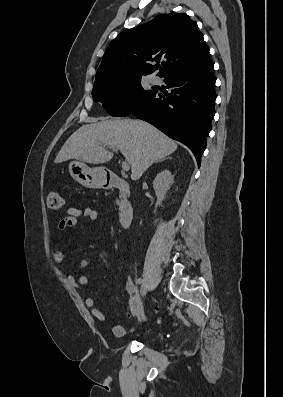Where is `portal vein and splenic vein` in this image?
Segmentation results:
<instances>
[{"instance_id":"obj_1","label":"portal vein and splenic vein","mask_w":283,"mask_h":397,"mask_svg":"<svg viewBox=\"0 0 283 397\" xmlns=\"http://www.w3.org/2000/svg\"><path fill=\"white\" fill-rule=\"evenodd\" d=\"M109 148L112 149L113 151H116V152H117V149H116V148H114V147H112V146H110ZM122 169H123L124 171H128V170L130 169L129 164H128L126 161H122Z\"/></svg>"}]
</instances>
